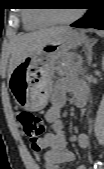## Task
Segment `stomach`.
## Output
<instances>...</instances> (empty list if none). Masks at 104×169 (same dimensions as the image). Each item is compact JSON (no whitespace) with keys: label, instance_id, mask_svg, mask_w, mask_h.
Segmentation results:
<instances>
[{"label":"stomach","instance_id":"obj_1","mask_svg":"<svg viewBox=\"0 0 104 169\" xmlns=\"http://www.w3.org/2000/svg\"><path fill=\"white\" fill-rule=\"evenodd\" d=\"M89 41L80 31H66L15 67L9 88L16 104L27 111L43 109L50 98L57 62L69 50Z\"/></svg>","mask_w":104,"mask_h":169}]
</instances>
